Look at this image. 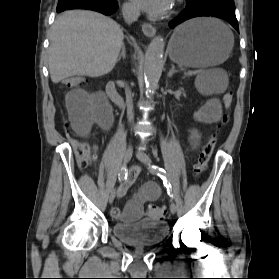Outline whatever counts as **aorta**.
Instances as JSON below:
<instances>
[{
    "instance_id": "aorta-1",
    "label": "aorta",
    "mask_w": 279,
    "mask_h": 279,
    "mask_svg": "<svg viewBox=\"0 0 279 279\" xmlns=\"http://www.w3.org/2000/svg\"><path fill=\"white\" fill-rule=\"evenodd\" d=\"M164 40L156 36L150 43L144 59V77L147 86V93L152 96L160 80L164 61Z\"/></svg>"
}]
</instances>
